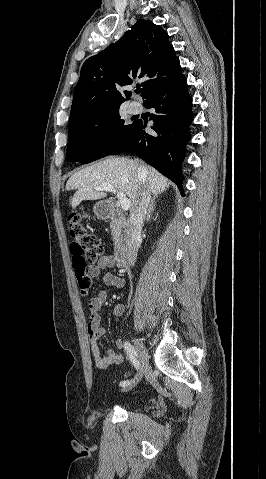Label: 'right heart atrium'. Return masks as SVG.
Instances as JSON below:
<instances>
[{
    "mask_svg": "<svg viewBox=\"0 0 266 479\" xmlns=\"http://www.w3.org/2000/svg\"><path fill=\"white\" fill-rule=\"evenodd\" d=\"M103 137H108V133L107 132L103 133Z\"/></svg>",
    "mask_w": 266,
    "mask_h": 479,
    "instance_id": "right-heart-atrium-1",
    "label": "right heart atrium"
}]
</instances>
